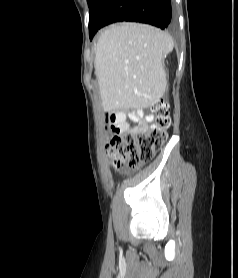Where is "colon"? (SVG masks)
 Here are the masks:
<instances>
[{
	"instance_id": "1",
	"label": "colon",
	"mask_w": 238,
	"mask_h": 278,
	"mask_svg": "<svg viewBox=\"0 0 238 278\" xmlns=\"http://www.w3.org/2000/svg\"><path fill=\"white\" fill-rule=\"evenodd\" d=\"M154 110L155 122L145 129L117 131L108 144L112 164L116 169L137 168L149 162L167 139L171 125L170 106L159 101Z\"/></svg>"
}]
</instances>
